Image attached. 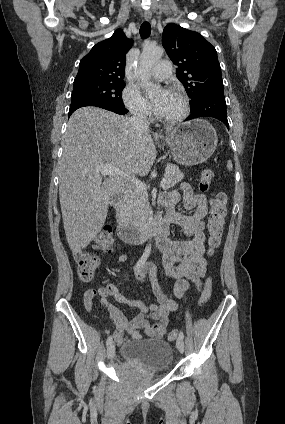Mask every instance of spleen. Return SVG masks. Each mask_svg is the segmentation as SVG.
I'll return each mask as SVG.
<instances>
[{"instance_id":"spleen-1","label":"spleen","mask_w":285,"mask_h":424,"mask_svg":"<svg viewBox=\"0 0 285 424\" xmlns=\"http://www.w3.org/2000/svg\"><path fill=\"white\" fill-rule=\"evenodd\" d=\"M227 168L229 170H232V168H233L232 162L230 160L227 162Z\"/></svg>"}]
</instances>
